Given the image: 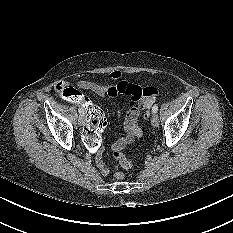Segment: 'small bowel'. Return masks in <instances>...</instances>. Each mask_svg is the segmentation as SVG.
<instances>
[{
	"instance_id": "small-bowel-1",
	"label": "small bowel",
	"mask_w": 233,
	"mask_h": 233,
	"mask_svg": "<svg viewBox=\"0 0 233 233\" xmlns=\"http://www.w3.org/2000/svg\"><path fill=\"white\" fill-rule=\"evenodd\" d=\"M121 77V73L114 71L108 75V80L116 81ZM70 84L67 81H62L55 87V93L58 96L64 97L61 91L69 88ZM78 87L82 90L91 91L100 97H117L118 95H125L130 98L128 108L124 115V135L114 141L111 145L113 153L121 152L127 145L132 143L134 138L142 135V130L138 125V116L140 109H147L155 102L156 94L147 95L145 92L148 88H142L136 84L120 81L118 83H103L97 81L81 80L78 82ZM72 102L80 103L84 106L82 100L76 98L70 100ZM96 164L102 175L107 176L111 170L102 158V148L100 147L96 154Z\"/></svg>"
}]
</instances>
